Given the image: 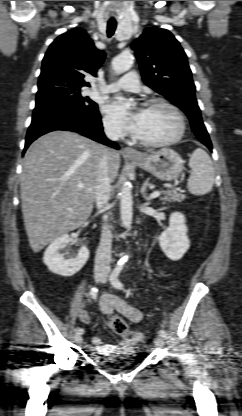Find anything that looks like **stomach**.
Masks as SVG:
<instances>
[{"label":"stomach","instance_id":"1","mask_svg":"<svg viewBox=\"0 0 242 416\" xmlns=\"http://www.w3.org/2000/svg\"><path fill=\"white\" fill-rule=\"evenodd\" d=\"M132 161L162 181L177 179L183 170L182 158L169 148L144 154L141 159H133Z\"/></svg>","mask_w":242,"mask_h":416}]
</instances>
